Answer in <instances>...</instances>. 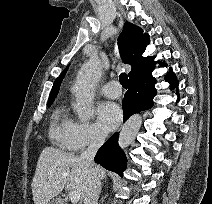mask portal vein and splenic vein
<instances>
[{
  "instance_id": "18ae733b",
  "label": "portal vein and splenic vein",
  "mask_w": 212,
  "mask_h": 204,
  "mask_svg": "<svg viewBox=\"0 0 212 204\" xmlns=\"http://www.w3.org/2000/svg\"><path fill=\"white\" fill-rule=\"evenodd\" d=\"M58 171H61V170L58 169ZM69 198L72 203H77L80 200V194L78 193V191H70Z\"/></svg>"
}]
</instances>
